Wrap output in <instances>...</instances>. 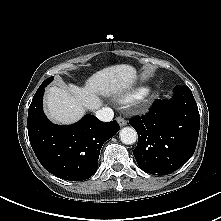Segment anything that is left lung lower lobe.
Wrapping results in <instances>:
<instances>
[{
  "mask_svg": "<svg viewBox=\"0 0 221 221\" xmlns=\"http://www.w3.org/2000/svg\"><path fill=\"white\" fill-rule=\"evenodd\" d=\"M130 125L137 131L133 151L139 167L153 175H167L193 155L200 127L196 101L187 86H176L171 100H156L142 117Z\"/></svg>",
  "mask_w": 221,
  "mask_h": 221,
  "instance_id": "1",
  "label": "left lung lower lobe"
}]
</instances>
